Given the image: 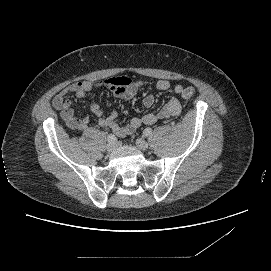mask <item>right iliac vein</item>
<instances>
[{"instance_id": "right-iliac-vein-1", "label": "right iliac vein", "mask_w": 271, "mask_h": 271, "mask_svg": "<svg viewBox=\"0 0 271 271\" xmlns=\"http://www.w3.org/2000/svg\"><path fill=\"white\" fill-rule=\"evenodd\" d=\"M115 147V143L114 142H108L107 146H106V149L107 151H112Z\"/></svg>"}]
</instances>
